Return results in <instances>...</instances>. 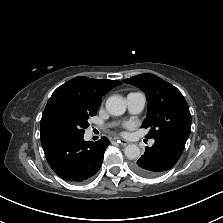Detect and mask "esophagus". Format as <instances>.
<instances>
[{
	"mask_svg": "<svg viewBox=\"0 0 223 223\" xmlns=\"http://www.w3.org/2000/svg\"><path fill=\"white\" fill-rule=\"evenodd\" d=\"M114 140H115L117 143H119V144H121V145H123V146H126V145L129 144L128 141H126V140H124V139H122V138H119V137H115Z\"/></svg>",
	"mask_w": 223,
	"mask_h": 223,
	"instance_id": "obj_1",
	"label": "esophagus"
}]
</instances>
